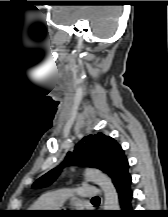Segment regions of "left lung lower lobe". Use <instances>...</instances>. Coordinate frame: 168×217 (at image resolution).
I'll return each mask as SVG.
<instances>
[{
	"mask_svg": "<svg viewBox=\"0 0 168 217\" xmlns=\"http://www.w3.org/2000/svg\"><path fill=\"white\" fill-rule=\"evenodd\" d=\"M129 164L125 167V173L120 180V182L115 186L116 191L120 200V205L123 208V210L116 213L118 217H128L131 216L132 210H131V201L133 198V193L131 190V176L128 173Z\"/></svg>",
	"mask_w": 168,
	"mask_h": 217,
	"instance_id": "obj_1",
	"label": "left lung lower lobe"
}]
</instances>
